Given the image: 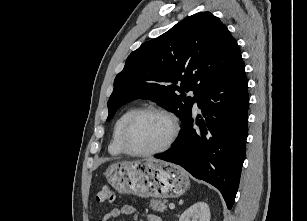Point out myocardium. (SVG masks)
<instances>
[{"instance_id": "1", "label": "myocardium", "mask_w": 307, "mask_h": 221, "mask_svg": "<svg viewBox=\"0 0 307 221\" xmlns=\"http://www.w3.org/2000/svg\"><path fill=\"white\" fill-rule=\"evenodd\" d=\"M146 114H158L167 118L171 125V132L167 140L160 147L149 151H138L133 149L129 145L128 136L133 125L137 122V120ZM179 130H180L179 121L172 112L160 107L141 108L137 110L134 114H132L124 124L120 134V146L124 151V153L131 156H136V157L153 156L169 149L173 144V142L175 141V139L177 138Z\"/></svg>"}]
</instances>
